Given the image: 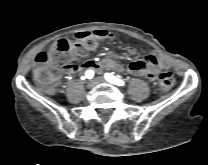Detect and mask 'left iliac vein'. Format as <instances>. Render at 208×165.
Instances as JSON below:
<instances>
[{
  "label": "left iliac vein",
  "mask_w": 208,
  "mask_h": 165,
  "mask_svg": "<svg viewBox=\"0 0 208 165\" xmlns=\"http://www.w3.org/2000/svg\"><path fill=\"white\" fill-rule=\"evenodd\" d=\"M95 81H96V83H103V82H105V79L103 77H97L95 79Z\"/></svg>",
  "instance_id": "left-iliac-vein-1"
}]
</instances>
